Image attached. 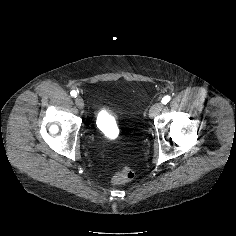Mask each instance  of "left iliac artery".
<instances>
[{
	"label": "left iliac artery",
	"instance_id": "obj_1",
	"mask_svg": "<svg viewBox=\"0 0 236 236\" xmlns=\"http://www.w3.org/2000/svg\"><path fill=\"white\" fill-rule=\"evenodd\" d=\"M170 99H171V97L167 95V96H165V97L162 99L161 102H162L163 104H167V103L170 101Z\"/></svg>",
	"mask_w": 236,
	"mask_h": 236
}]
</instances>
